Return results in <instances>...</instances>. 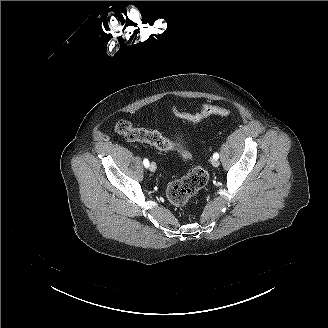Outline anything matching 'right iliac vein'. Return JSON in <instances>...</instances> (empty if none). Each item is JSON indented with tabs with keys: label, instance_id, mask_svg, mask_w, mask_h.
I'll list each match as a JSON object with an SVG mask.
<instances>
[{
	"label": "right iliac vein",
	"instance_id": "1",
	"mask_svg": "<svg viewBox=\"0 0 328 328\" xmlns=\"http://www.w3.org/2000/svg\"><path fill=\"white\" fill-rule=\"evenodd\" d=\"M149 169L151 172H155L157 169L156 164L154 162H151Z\"/></svg>",
	"mask_w": 328,
	"mask_h": 328
}]
</instances>
